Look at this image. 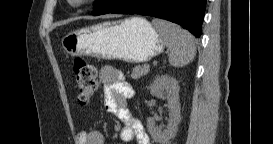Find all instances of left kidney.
Masks as SVG:
<instances>
[{
  "label": "left kidney",
  "instance_id": "obj_1",
  "mask_svg": "<svg viewBox=\"0 0 273 144\" xmlns=\"http://www.w3.org/2000/svg\"><path fill=\"white\" fill-rule=\"evenodd\" d=\"M179 89L178 81L169 75L157 76L150 86L151 95L166 99L169 108V120L165 130L162 131L156 126L154 118L149 117L147 119L148 131L159 144H168L169 140L174 138L177 133L178 124L181 120Z\"/></svg>",
  "mask_w": 273,
  "mask_h": 144
}]
</instances>
